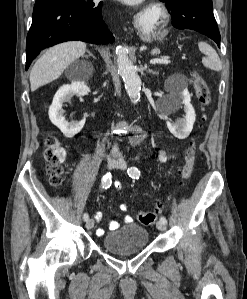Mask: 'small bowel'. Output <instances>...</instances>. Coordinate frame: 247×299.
Wrapping results in <instances>:
<instances>
[{
  "label": "small bowel",
  "instance_id": "obj_1",
  "mask_svg": "<svg viewBox=\"0 0 247 299\" xmlns=\"http://www.w3.org/2000/svg\"><path fill=\"white\" fill-rule=\"evenodd\" d=\"M167 159H168V158H167V156H166L164 153H160V155H159V160H160L161 162H166ZM118 186H119V183H116V184H115L116 189H118ZM120 210H121V211H126V210H127L126 205H125V204H121V205H120ZM102 218H103V213H102V212H97V213L95 214V220H96V221H100V220H102ZM125 221H126V222H131L132 219H131V217L127 216V217L125 218ZM119 225H120V224H119L117 221H115V220H111V221L108 223V227H109L110 230H116V229H118V228H119ZM96 233H97V235L101 236V235H103V234L105 233V231H104L103 228H98V229L96 230Z\"/></svg>",
  "mask_w": 247,
  "mask_h": 299
}]
</instances>
